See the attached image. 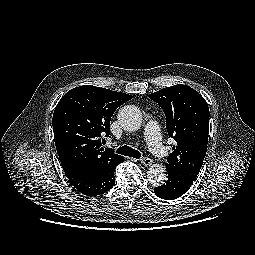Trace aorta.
<instances>
[{"label":"aorta","instance_id":"aorta-1","mask_svg":"<svg viewBox=\"0 0 255 255\" xmlns=\"http://www.w3.org/2000/svg\"><path fill=\"white\" fill-rule=\"evenodd\" d=\"M117 118L121 127L129 132L138 130L142 124V113L135 105L122 107ZM147 177L153 186H161L167 180L166 167L163 164H153L147 172Z\"/></svg>","mask_w":255,"mask_h":255}]
</instances>
